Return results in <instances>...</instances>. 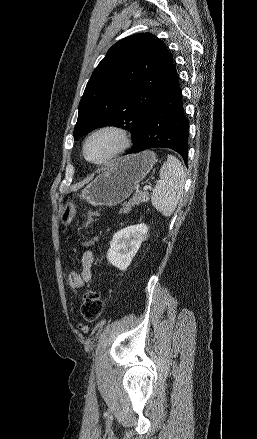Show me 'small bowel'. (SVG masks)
Returning a JSON list of instances; mask_svg holds the SVG:
<instances>
[{
    "label": "small bowel",
    "instance_id": "1",
    "mask_svg": "<svg viewBox=\"0 0 257 439\" xmlns=\"http://www.w3.org/2000/svg\"><path fill=\"white\" fill-rule=\"evenodd\" d=\"M95 241H96V238L90 239L88 241L82 242V245L88 247L91 244H93ZM93 261H94V257H93L92 252L90 250H86L83 253L82 258H81L82 269H81V272H80L81 273V285H80V287L83 286L84 284L89 283L91 281V279H92L91 267H92ZM80 287H78V288H80ZM71 288H72L73 292L76 293L78 288H73V287H71ZM82 329L85 332L88 330V328L86 326H83Z\"/></svg>",
    "mask_w": 257,
    "mask_h": 439
}]
</instances>
